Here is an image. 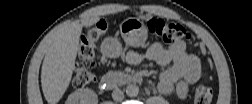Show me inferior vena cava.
Wrapping results in <instances>:
<instances>
[{
  "instance_id": "1",
  "label": "inferior vena cava",
  "mask_w": 252,
  "mask_h": 104,
  "mask_svg": "<svg viewBox=\"0 0 252 104\" xmlns=\"http://www.w3.org/2000/svg\"><path fill=\"white\" fill-rule=\"evenodd\" d=\"M112 98L117 102L122 101L124 99V93L119 88H116L112 92Z\"/></svg>"
}]
</instances>
